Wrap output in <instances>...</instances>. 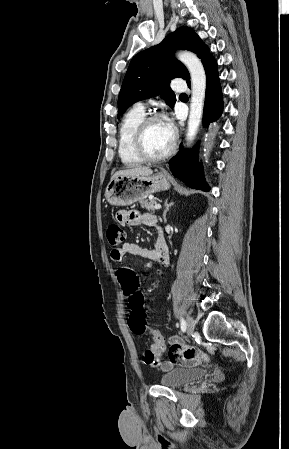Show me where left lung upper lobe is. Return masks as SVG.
I'll return each instance as SVG.
<instances>
[{
  "label": "left lung upper lobe",
  "instance_id": "obj_1",
  "mask_svg": "<svg viewBox=\"0 0 289 449\" xmlns=\"http://www.w3.org/2000/svg\"><path fill=\"white\" fill-rule=\"evenodd\" d=\"M179 49L190 50L202 60L209 48L189 27L178 28L159 45L135 55L130 62L118 97V117L139 100L161 95L170 107L176 96L169 86L170 80L180 77L187 82V68L173 57Z\"/></svg>",
  "mask_w": 289,
  "mask_h": 449
}]
</instances>
